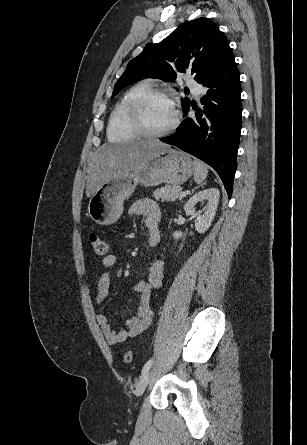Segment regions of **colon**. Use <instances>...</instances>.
<instances>
[{
  "label": "colon",
  "mask_w": 307,
  "mask_h": 445,
  "mask_svg": "<svg viewBox=\"0 0 307 445\" xmlns=\"http://www.w3.org/2000/svg\"><path fill=\"white\" fill-rule=\"evenodd\" d=\"M89 239H90L91 246L97 255L105 256L107 254L108 244L99 234L93 233L90 235ZM122 358H123L124 363H130L133 359L132 350H126L123 353Z\"/></svg>",
  "instance_id": "1"
}]
</instances>
